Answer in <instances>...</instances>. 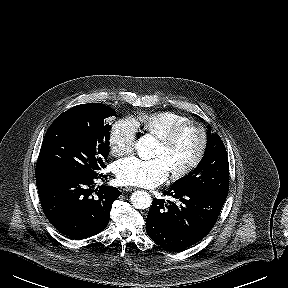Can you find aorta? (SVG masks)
Listing matches in <instances>:
<instances>
[{"label":"aorta","mask_w":288,"mask_h":288,"mask_svg":"<svg viewBox=\"0 0 288 288\" xmlns=\"http://www.w3.org/2000/svg\"><path fill=\"white\" fill-rule=\"evenodd\" d=\"M156 146V140L150 135L142 136L136 143V150L138 156L143 159L147 160L154 157V148ZM131 204L136 209H147L152 204V198L149 193L146 191H135L132 193L131 197Z\"/></svg>","instance_id":"762f6f07"}]
</instances>
